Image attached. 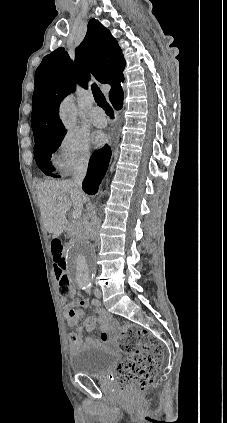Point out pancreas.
Segmentation results:
<instances>
[{
	"label": "pancreas",
	"mask_w": 227,
	"mask_h": 423,
	"mask_svg": "<svg viewBox=\"0 0 227 423\" xmlns=\"http://www.w3.org/2000/svg\"><path fill=\"white\" fill-rule=\"evenodd\" d=\"M86 225L82 219H76V221H73L71 223V229H72V237L71 241H74L75 237H80V235H84V229Z\"/></svg>",
	"instance_id": "1"
}]
</instances>
